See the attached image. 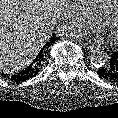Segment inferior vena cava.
Segmentation results:
<instances>
[{"mask_svg": "<svg viewBox=\"0 0 118 118\" xmlns=\"http://www.w3.org/2000/svg\"><path fill=\"white\" fill-rule=\"evenodd\" d=\"M62 28H64V26H60V27H58L59 30H61Z\"/></svg>", "mask_w": 118, "mask_h": 118, "instance_id": "1", "label": "inferior vena cava"}]
</instances>
